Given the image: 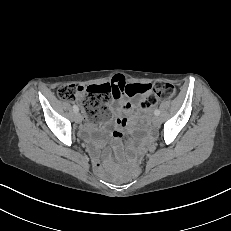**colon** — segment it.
Listing matches in <instances>:
<instances>
[{"label":"colon","mask_w":231,"mask_h":231,"mask_svg":"<svg viewBox=\"0 0 231 231\" xmlns=\"http://www.w3.org/2000/svg\"><path fill=\"white\" fill-rule=\"evenodd\" d=\"M130 94H145V107H153L160 98L169 99L173 97L175 88L167 82H156L152 86L139 84L129 87ZM121 93L115 85L105 83L80 87L75 85H64L58 88L57 95L60 99L66 101H77L85 110L90 119L95 121H107L110 118V112L107 103ZM142 166L137 163L134 165L131 174L137 176L141 173Z\"/></svg>","instance_id":"obj_1"}]
</instances>
